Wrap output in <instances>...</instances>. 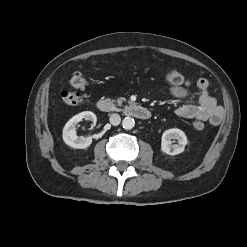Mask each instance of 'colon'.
<instances>
[{"instance_id":"colon-1","label":"colon","mask_w":247,"mask_h":247,"mask_svg":"<svg viewBox=\"0 0 247 247\" xmlns=\"http://www.w3.org/2000/svg\"><path fill=\"white\" fill-rule=\"evenodd\" d=\"M165 79L171 85H181L184 83V76L179 72L172 71L165 75ZM70 84L72 90H67L62 92V99L66 104L76 105L79 104L84 97V90L88 86V80L81 73H75L71 78ZM193 127L197 131L204 129L205 124L201 120H196L193 122Z\"/></svg>"}]
</instances>
